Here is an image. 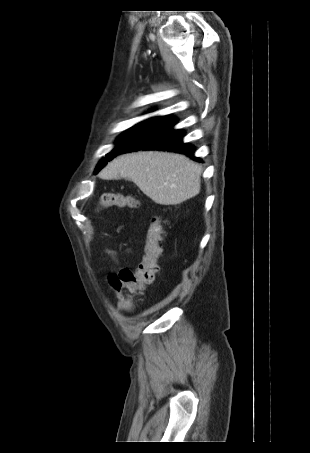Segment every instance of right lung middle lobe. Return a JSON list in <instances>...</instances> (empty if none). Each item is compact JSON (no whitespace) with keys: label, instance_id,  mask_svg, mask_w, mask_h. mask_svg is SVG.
I'll return each mask as SVG.
<instances>
[{"label":"right lung middle lobe","instance_id":"dd1d6c3e","mask_svg":"<svg viewBox=\"0 0 310 453\" xmlns=\"http://www.w3.org/2000/svg\"><path fill=\"white\" fill-rule=\"evenodd\" d=\"M155 120H157L156 118H152V119H149V120H146V121H143L135 126H133L132 128H130L129 130H127L126 132H124L123 134H121L117 141H116V144L117 146L115 147L114 150H112L110 153H108L106 155V159H102L97 168H96V171L95 173H98L106 164L108 161L112 160L114 157H116L118 154H120V152L132 141L134 140L137 136H139L146 128H148Z\"/></svg>","mask_w":310,"mask_h":453}]
</instances>
